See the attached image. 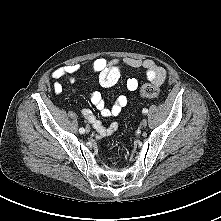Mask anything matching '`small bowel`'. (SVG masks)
<instances>
[{"instance_id":"c3829d8e","label":"small bowel","mask_w":221,"mask_h":221,"mask_svg":"<svg viewBox=\"0 0 221 221\" xmlns=\"http://www.w3.org/2000/svg\"><path fill=\"white\" fill-rule=\"evenodd\" d=\"M84 65L92 72L98 74L99 83L102 87H111L116 84L124 68L144 71L148 80L156 85L163 84L167 76L165 69L151 59L141 60L123 57L107 60L105 58H96L90 62L73 63L54 70L52 73V78L56 80L53 86L54 92L61 94L64 91L62 81L73 82L74 76ZM126 88L130 92L135 91L138 88V80L135 77L128 78ZM89 100L105 118L119 115L128 103L127 96L120 95L111 107H107L102 94L98 91H92L89 94ZM82 115L97 131L98 138L109 136L118 130L117 122L104 126L89 109H83Z\"/></svg>"}]
</instances>
